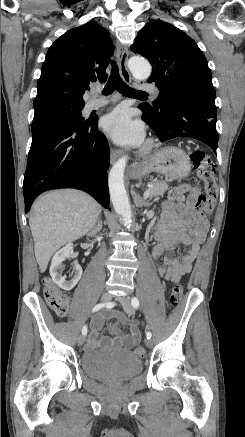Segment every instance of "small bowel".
<instances>
[{"label": "small bowel", "instance_id": "obj_1", "mask_svg": "<svg viewBox=\"0 0 245 437\" xmlns=\"http://www.w3.org/2000/svg\"><path fill=\"white\" fill-rule=\"evenodd\" d=\"M194 192L185 203H175L167 201L163 204V212L160 220L151 228L150 236L157 243L152 250V260L157 263L155 268L157 273L168 282H179L188 274L197 259L200 246L204 242L208 229V221L202 212L198 211L194 205ZM183 243L187 246L186 253L181 257L167 255L161 259L164 251L171 252L178 244ZM119 321H128L124 316L118 315ZM105 316L97 315L92 320V334L87 344L88 349L96 347L98 344H115L130 349L140 341V334L135 322L129 321L130 334L124 333L115 323L111 327L114 339L101 337L98 339V331L101 329Z\"/></svg>", "mask_w": 245, "mask_h": 437}]
</instances>
